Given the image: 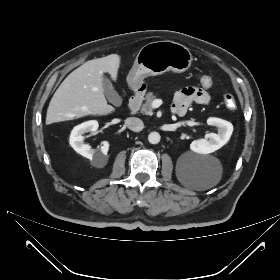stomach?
<instances>
[{
	"instance_id": "0dacf381",
	"label": "stomach",
	"mask_w": 280,
	"mask_h": 280,
	"mask_svg": "<svg viewBox=\"0 0 280 280\" xmlns=\"http://www.w3.org/2000/svg\"><path fill=\"white\" fill-rule=\"evenodd\" d=\"M192 54L182 44L170 40L156 41L144 45L136 55L127 82L134 91L144 90V79L167 71L181 73L188 70Z\"/></svg>"
}]
</instances>
